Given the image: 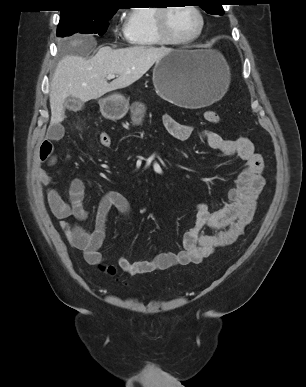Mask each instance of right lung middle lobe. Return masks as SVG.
<instances>
[{"label":"right lung middle lobe","instance_id":"obj_1","mask_svg":"<svg viewBox=\"0 0 306 387\" xmlns=\"http://www.w3.org/2000/svg\"><path fill=\"white\" fill-rule=\"evenodd\" d=\"M117 10H103L94 13H61L57 36L65 37L74 33H98L102 36L108 26V20Z\"/></svg>","mask_w":306,"mask_h":387}]
</instances>
